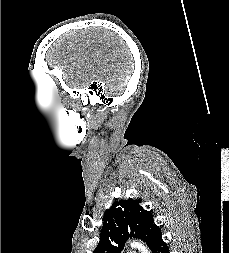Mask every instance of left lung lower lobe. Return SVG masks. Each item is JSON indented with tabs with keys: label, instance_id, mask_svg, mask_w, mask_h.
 <instances>
[{
	"label": "left lung lower lobe",
	"instance_id": "1",
	"mask_svg": "<svg viewBox=\"0 0 229 253\" xmlns=\"http://www.w3.org/2000/svg\"><path fill=\"white\" fill-rule=\"evenodd\" d=\"M152 253H169L167 244L161 239L153 249Z\"/></svg>",
	"mask_w": 229,
	"mask_h": 253
}]
</instances>
